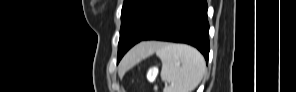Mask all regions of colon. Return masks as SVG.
<instances>
[{
  "label": "colon",
  "instance_id": "obj_1",
  "mask_svg": "<svg viewBox=\"0 0 296 92\" xmlns=\"http://www.w3.org/2000/svg\"><path fill=\"white\" fill-rule=\"evenodd\" d=\"M150 73H151V74H154V69H151V70H150Z\"/></svg>",
  "mask_w": 296,
  "mask_h": 92
}]
</instances>
